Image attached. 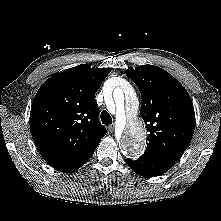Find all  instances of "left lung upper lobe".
I'll use <instances>...</instances> for the list:
<instances>
[{"label": "left lung upper lobe", "instance_id": "left-lung-upper-lobe-1", "mask_svg": "<svg viewBox=\"0 0 221 221\" xmlns=\"http://www.w3.org/2000/svg\"><path fill=\"white\" fill-rule=\"evenodd\" d=\"M142 97L140 115L149 132L144 155L174 164L186 150L195 128V112L185 88L171 74L143 65L126 74Z\"/></svg>", "mask_w": 221, "mask_h": 221}]
</instances>
